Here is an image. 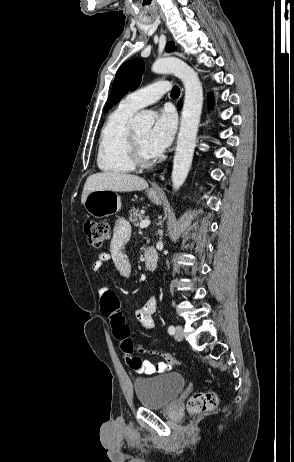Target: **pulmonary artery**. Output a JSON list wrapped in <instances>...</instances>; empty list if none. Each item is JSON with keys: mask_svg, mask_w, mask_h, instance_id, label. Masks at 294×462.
Returning a JSON list of instances; mask_svg holds the SVG:
<instances>
[{"mask_svg": "<svg viewBox=\"0 0 294 462\" xmlns=\"http://www.w3.org/2000/svg\"><path fill=\"white\" fill-rule=\"evenodd\" d=\"M169 90V83L160 80L128 94L121 103L126 107L138 110L155 103Z\"/></svg>", "mask_w": 294, "mask_h": 462, "instance_id": "obj_1", "label": "pulmonary artery"}]
</instances>
